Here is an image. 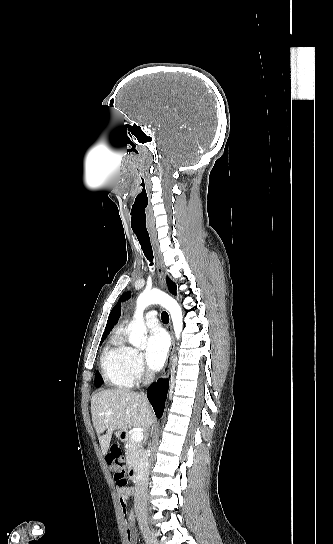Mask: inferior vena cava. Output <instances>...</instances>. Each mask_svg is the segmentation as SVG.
Segmentation results:
<instances>
[{"instance_id":"602c4592","label":"inferior vena cava","mask_w":333,"mask_h":544,"mask_svg":"<svg viewBox=\"0 0 333 544\" xmlns=\"http://www.w3.org/2000/svg\"><path fill=\"white\" fill-rule=\"evenodd\" d=\"M152 379L151 376L146 378V384ZM149 480V463L147 452L143 451L141 454L140 462L138 465L135 494H134V506L135 512L140 520L147 517V486Z\"/></svg>"}]
</instances>
